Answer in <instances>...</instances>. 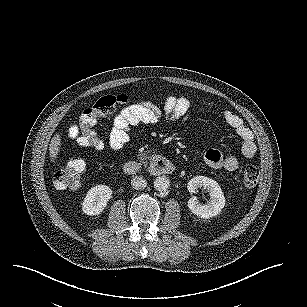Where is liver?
<instances>
[{
  "mask_svg": "<svg viewBox=\"0 0 307 307\" xmlns=\"http://www.w3.org/2000/svg\"><path fill=\"white\" fill-rule=\"evenodd\" d=\"M59 138L55 137L52 139L51 143H50V147L49 150L51 151V155L54 157L57 150H58V145H59Z\"/></svg>",
  "mask_w": 307,
  "mask_h": 307,
  "instance_id": "1",
  "label": "liver"
}]
</instances>
